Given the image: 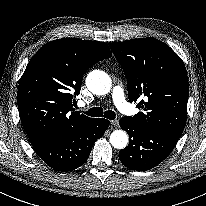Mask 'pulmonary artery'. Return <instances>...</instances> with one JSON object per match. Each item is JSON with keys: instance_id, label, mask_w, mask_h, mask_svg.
I'll use <instances>...</instances> for the list:
<instances>
[{"instance_id": "pulmonary-artery-1", "label": "pulmonary artery", "mask_w": 206, "mask_h": 206, "mask_svg": "<svg viewBox=\"0 0 206 206\" xmlns=\"http://www.w3.org/2000/svg\"><path fill=\"white\" fill-rule=\"evenodd\" d=\"M112 100L115 106L125 114H130L132 109L130 105L126 102L124 91L120 86H114L111 91Z\"/></svg>"}]
</instances>
